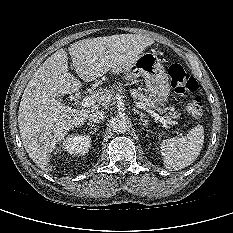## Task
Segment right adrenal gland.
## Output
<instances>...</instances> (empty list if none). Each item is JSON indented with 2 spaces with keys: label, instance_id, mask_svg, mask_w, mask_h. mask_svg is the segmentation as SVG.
Returning <instances> with one entry per match:
<instances>
[{
  "label": "right adrenal gland",
  "instance_id": "obj_1",
  "mask_svg": "<svg viewBox=\"0 0 233 233\" xmlns=\"http://www.w3.org/2000/svg\"><path fill=\"white\" fill-rule=\"evenodd\" d=\"M88 126H90L93 129H96L97 125L91 124V123H87Z\"/></svg>",
  "mask_w": 233,
  "mask_h": 233
}]
</instances>
